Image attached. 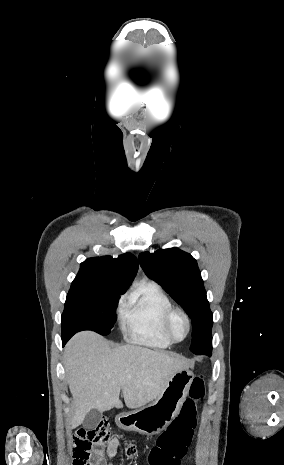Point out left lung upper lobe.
<instances>
[{"instance_id":"left-lung-upper-lobe-1","label":"left lung upper lobe","mask_w":284,"mask_h":465,"mask_svg":"<svg viewBox=\"0 0 284 465\" xmlns=\"http://www.w3.org/2000/svg\"><path fill=\"white\" fill-rule=\"evenodd\" d=\"M138 258L146 275L160 284L190 317V350L211 356L213 314L196 260L178 248L144 252Z\"/></svg>"}]
</instances>
